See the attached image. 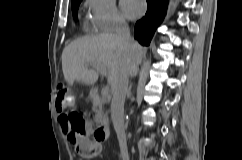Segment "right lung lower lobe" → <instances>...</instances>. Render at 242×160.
Returning a JSON list of instances; mask_svg holds the SVG:
<instances>
[{
	"mask_svg": "<svg viewBox=\"0 0 242 160\" xmlns=\"http://www.w3.org/2000/svg\"><path fill=\"white\" fill-rule=\"evenodd\" d=\"M148 9L145 16L135 25V38L142 45H149L156 28L164 19L168 0H147Z\"/></svg>",
	"mask_w": 242,
	"mask_h": 160,
	"instance_id": "right-lung-lower-lobe-1",
	"label": "right lung lower lobe"
}]
</instances>
